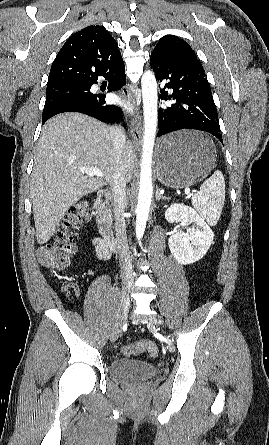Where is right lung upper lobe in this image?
<instances>
[{
  "instance_id": "right-lung-upper-lobe-1",
  "label": "right lung upper lobe",
  "mask_w": 269,
  "mask_h": 445,
  "mask_svg": "<svg viewBox=\"0 0 269 445\" xmlns=\"http://www.w3.org/2000/svg\"><path fill=\"white\" fill-rule=\"evenodd\" d=\"M122 59L118 44L99 25L74 33L53 61L47 88L87 84Z\"/></svg>"
}]
</instances>
